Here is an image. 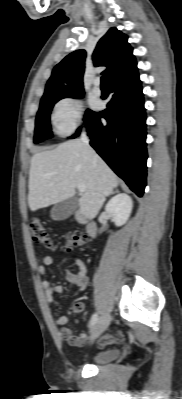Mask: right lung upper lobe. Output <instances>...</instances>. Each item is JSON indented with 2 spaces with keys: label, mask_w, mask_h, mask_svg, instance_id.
Instances as JSON below:
<instances>
[{
  "label": "right lung upper lobe",
  "mask_w": 182,
  "mask_h": 399,
  "mask_svg": "<svg viewBox=\"0 0 182 399\" xmlns=\"http://www.w3.org/2000/svg\"><path fill=\"white\" fill-rule=\"evenodd\" d=\"M85 50H77L58 63L48 80L42 99L84 94L83 73ZM92 60L95 66H106L103 74L111 83L129 77L137 72V63L127 36L116 28H111L97 43ZM41 99V100H42Z\"/></svg>",
  "instance_id": "1"
}]
</instances>
